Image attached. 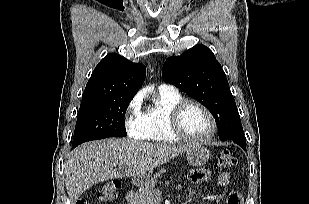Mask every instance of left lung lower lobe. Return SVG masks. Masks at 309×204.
<instances>
[{
    "label": "left lung lower lobe",
    "mask_w": 309,
    "mask_h": 204,
    "mask_svg": "<svg viewBox=\"0 0 309 204\" xmlns=\"http://www.w3.org/2000/svg\"><path fill=\"white\" fill-rule=\"evenodd\" d=\"M222 140V139H221ZM235 143H237L238 145H240L243 149H246V139H245V136L242 135V136H237V137H234L232 139H229ZM225 141V140H223Z\"/></svg>",
    "instance_id": "1"
}]
</instances>
